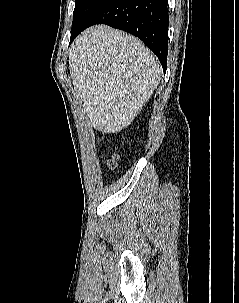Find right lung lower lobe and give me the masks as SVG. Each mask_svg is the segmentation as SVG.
Listing matches in <instances>:
<instances>
[{"mask_svg":"<svg viewBox=\"0 0 239 303\" xmlns=\"http://www.w3.org/2000/svg\"><path fill=\"white\" fill-rule=\"evenodd\" d=\"M168 0H106L91 16L84 29L106 24L140 38L167 68ZM71 36L70 43L81 32Z\"/></svg>","mask_w":239,"mask_h":303,"instance_id":"right-lung-lower-lobe-1","label":"right lung lower lobe"}]
</instances>
